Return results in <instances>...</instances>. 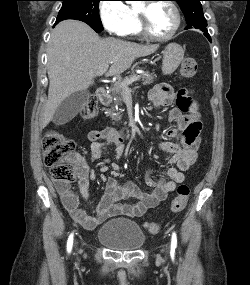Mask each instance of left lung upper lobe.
<instances>
[{
	"label": "left lung upper lobe",
	"mask_w": 250,
	"mask_h": 285,
	"mask_svg": "<svg viewBox=\"0 0 250 285\" xmlns=\"http://www.w3.org/2000/svg\"><path fill=\"white\" fill-rule=\"evenodd\" d=\"M179 4L185 15L187 27L185 29L195 28L207 32V21L204 17L202 0H175Z\"/></svg>",
	"instance_id": "5c2ea615"
}]
</instances>
